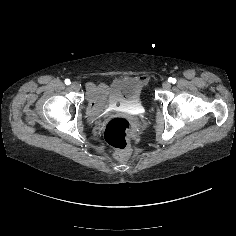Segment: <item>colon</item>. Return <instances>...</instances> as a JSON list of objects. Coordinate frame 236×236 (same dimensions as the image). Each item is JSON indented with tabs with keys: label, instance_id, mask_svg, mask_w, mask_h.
Instances as JSON below:
<instances>
[{
	"label": "colon",
	"instance_id": "colon-1",
	"mask_svg": "<svg viewBox=\"0 0 236 236\" xmlns=\"http://www.w3.org/2000/svg\"><path fill=\"white\" fill-rule=\"evenodd\" d=\"M130 121L122 116L111 118L105 126L104 138L115 149V158L125 161L131 153L130 148Z\"/></svg>",
	"mask_w": 236,
	"mask_h": 236
}]
</instances>
